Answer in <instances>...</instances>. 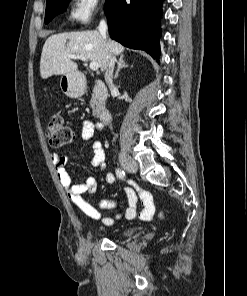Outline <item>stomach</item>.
<instances>
[{"mask_svg": "<svg viewBox=\"0 0 247 296\" xmlns=\"http://www.w3.org/2000/svg\"><path fill=\"white\" fill-rule=\"evenodd\" d=\"M62 91L70 97H79L83 93V87L76 73L64 74L60 79Z\"/></svg>", "mask_w": 247, "mask_h": 296, "instance_id": "1", "label": "stomach"}]
</instances>
